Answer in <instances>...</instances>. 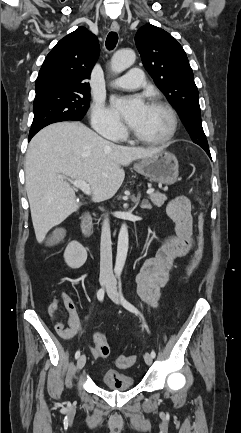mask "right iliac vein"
<instances>
[{
	"instance_id": "right-iliac-vein-1",
	"label": "right iliac vein",
	"mask_w": 241,
	"mask_h": 433,
	"mask_svg": "<svg viewBox=\"0 0 241 433\" xmlns=\"http://www.w3.org/2000/svg\"><path fill=\"white\" fill-rule=\"evenodd\" d=\"M101 285L105 286V285H107V283L103 281V282H101ZM85 363H86V356L83 354L78 358L77 369L81 370L84 367Z\"/></svg>"
}]
</instances>
